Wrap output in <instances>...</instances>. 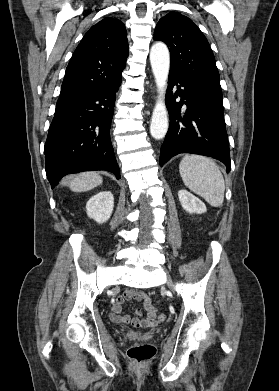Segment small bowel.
<instances>
[{
	"label": "small bowel",
	"mask_w": 279,
	"mask_h": 391,
	"mask_svg": "<svg viewBox=\"0 0 279 391\" xmlns=\"http://www.w3.org/2000/svg\"><path fill=\"white\" fill-rule=\"evenodd\" d=\"M125 300H137L143 303L144 310L146 312L145 317L142 316V311L137 310V317L131 318L129 315L122 314V305ZM156 309L152 305L150 298L140 291L129 290L122 296L118 297L111 308L110 317L113 321L125 324H131L136 328H148L156 324Z\"/></svg>",
	"instance_id": "1"
}]
</instances>
